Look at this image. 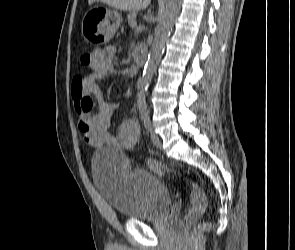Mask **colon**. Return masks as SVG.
Segmentation results:
<instances>
[{
	"instance_id": "5ec220e1",
	"label": "colon",
	"mask_w": 295,
	"mask_h": 250,
	"mask_svg": "<svg viewBox=\"0 0 295 250\" xmlns=\"http://www.w3.org/2000/svg\"><path fill=\"white\" fill-rule=\"evenodd\" d=\"M91 61H92V53L87 52L81 56V63L83 65L88 66L91 63ZM149 167L154 172H156L157 174L161 176L182 181L187 185L189 189L190 204L184 216V222L186 223L190 222L202 215V213L205 210L206 199H205L204 192L202 191V189L198 186L196 182H194L192 179H190L186 175L167 169L154 161L149 162Z\"/></svg>"
}]
</instances>
